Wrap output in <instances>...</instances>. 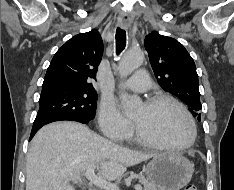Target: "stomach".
<instances>
[{
  "mask_svg": "<svg viewBox=\"0 0 234 190\" xmlns=\"http://www.w3.org/2000/svg\"><path fill=\"white\" fill-rule=\"evenodd\" d=\"M191 162L180 154L161 153L148 163L146 176L158 190H180L193 174Z\"/></svg>",
  "mask_w": 234,
  "mask_h": 190,
  "instance_id": "stomach-1",
  "label": "stomach"
}]
</instances>
